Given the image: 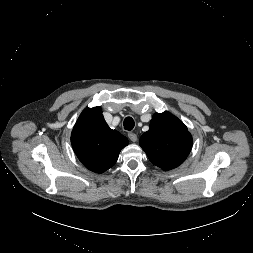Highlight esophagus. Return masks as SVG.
<instances>
[{
	"instance_id": "34e87169",
	"label": "esophagus",
	"mask_w": 253,
	"mask_h": 253,
	"mask_svg": "<svg viewBox=\"0 0 253 253\" xmlns=\"http://www.w3.org/2000/svg\"><path fill=\"white\" fill-rule=\"evenodd\" d=\"M128 137L132 142H136L137 141V135L135 133H128Z\"/></svg>"
}]
</instances>
